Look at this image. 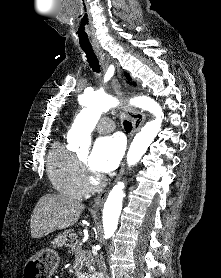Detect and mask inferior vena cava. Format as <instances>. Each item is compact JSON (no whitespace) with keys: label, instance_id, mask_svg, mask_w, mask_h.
<instances>
[{"label":"inferior vena cava","instance_id":"obj_1","mask_svg":"<svg viewBox=\"0 0 221 278\" xmlns=\"http://www.w3.org/2000/svg\"><path fill=\"white\" fill-rule=\"evenodd\" d=\"M98 267L99 270L104 274V278H108L106 271H105V264L104 261L100 258V260L98 259Z\"/></svg>","mask_w":221,"mask_h":278}]
</instances>
